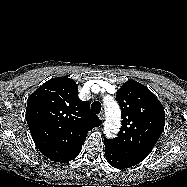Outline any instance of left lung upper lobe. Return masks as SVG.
<instances>
[{"label":"left lung upper lobe","instance_id":"5c2ea615","mask_svg":"<svg viewBox=\"0 0 187 187\" xmlns=\"http://www.w3.org/2000/svg\"><path fill=\"white\" fill-rule=\"evenodd\" d=\"M116 99L122 110V127L114 139L104 143L122 156L137 163L151 152L164 129L165 112L160 101L135 80L117 90Z\"/></svg>","mask_w":187,"mask_h":187}]
</instances>
